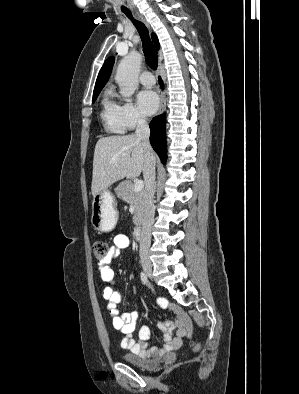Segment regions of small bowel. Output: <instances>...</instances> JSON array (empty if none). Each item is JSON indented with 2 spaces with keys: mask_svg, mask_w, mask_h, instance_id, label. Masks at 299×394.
Segmentation results:
<instances>
[{
  "mask_svg": "<svg viewBox=\"0 0 299 394\" xmlns=\"http://www.w3.org/2000/svg\"><path fill=\"white\" fill-rule=\"evenodd\" d=\"M130 246V238L127 235H116L113 245L110 248L108 257L99 264L98 270L100 277L104 282L112 283L114 281V271L110 267V263L116 259L122 250ZM103 297L107 301L108 313L112 318L113 327L124 335L121 346L130 350L132 353L140 355L144 358L158 357L166 353L178 350L185 338H190L192 334V323L189 317L182 309L173 304H169L165 299L159 298L158 304L165 310L170 311L176 317L174 323L165 321L159 324V328L163 333L164 344L161 347L148 348L147 340L150 336V327L144 325L138 334V341L133 336L138 312L132 311L119 314L117 305L121 301V294L107 286L103 289ZM175 336L173 337V331Z\"/></svg>",
  "mask_w": 299,
  "mask_h": 394,
  "instance_id": "1",
  "label": "small bowel"
}]
</instances>
